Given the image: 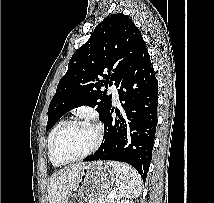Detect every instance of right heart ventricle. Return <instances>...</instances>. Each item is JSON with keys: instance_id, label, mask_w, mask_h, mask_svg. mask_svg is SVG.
I'll return each instance as SVG.
<instances>
[{"instance_id": "e07e8e85", "label": "right heart ventricle", "mask_w": 214, "mask_h": 203, "mask_svg": "<svg viewBox=\"0 0 214 203\" xmlns=\"http://www.w3.org/2000/svg\"><path fill=\"white\" fill-rule=\"evenodd\" d=\"M66 122V120H60L58 121L54 127L52 128L49 136H48V145H47V148H48V157L51 161V163L54 165V166H61L60 163H58L53 155H52V145H53V140H54V137H55V134L57 133V131L59 130V128Z\"/></svg>"}]
</instances>
